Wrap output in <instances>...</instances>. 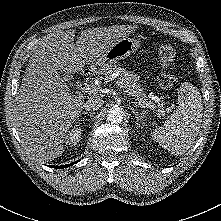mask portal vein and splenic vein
Listing matches in <instances>:
<instances>
[{
	"instance_id": "portal-vein-and-splenic-vein-1",
	"label": "portal vein and splenic vein",
	"mask_w": 221,
	"mask_h": 221,
	"mask_svg": "<svg viewBox=\"0 0 221 221\" xmlns=\"http://www.w3.org/2000/svg\"><path fill=\"white\" fill-rule=\"evenodd\" d=\"M118 85L121 88V85L120 84H118ZM98 91H99V88L96 85H86L82 88V92L87 93L89 95L90 94H96V93H98ZM139 105L142 106V107H148L147 104L142 105V104L139 103Z\"/></svg>"
}]
</instances>
